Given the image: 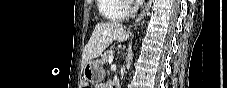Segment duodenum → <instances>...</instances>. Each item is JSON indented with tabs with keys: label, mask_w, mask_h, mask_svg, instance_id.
<instances>
[{
	"label": "duodenum",
	"mask_w": 227,
	"mask_h": 88,
	"mask_svg": "<svg viewBox=\"0 0 227 88\" xmlns=\"http://www.w3.org/2000/svg\"><path fill=\"white\" fill-rule=\"evenodd\" d=\"M110 87L111 88H119L120 86H119V83L118 82H115Z\"/></svg>",
	"instance_id": "410a0bca"
}]
</instances>
